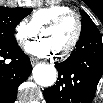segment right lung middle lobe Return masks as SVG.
Segmentation results:
<instances>
[{"instance_id": "obj_1", "label": "right lung middle lobe", "mask_w": 103, "mask_h": 103, "mask_svg": "<svg viewBox=\"0 0 103 103\" xmlns=\"http://www.w3.org/2000/svg\"><path fill=\"white\" fill-rule=\"evenodd\" d=\"M31 8L0 7V43L7 45L16 44L14 30L16 25L31 13Z\"/></svg>"}]
</instances>
